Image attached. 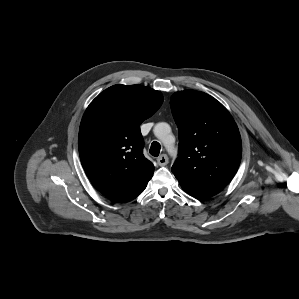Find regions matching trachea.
I'll list each match as a JSON object with an SVG mask.
<instances>
[{
	"mask_svg": "<svg viewBox=\"0 0 299 299\" xmlns=\"http://www.w3.org/2000/svg\"><path fill=\"white\" fill-rule=\"evenodd\" d=\"M160 150H161L160 144L158 142H156V141L152 142L150 150H149L150 154L152 156L157 157L159 155V153H160Z\"/></svg>",
	"mask_w": 299,
	"mask_h": 299,
	"instance_id": "trachea-1",
	"label": "trachea"
}]
</instances>
